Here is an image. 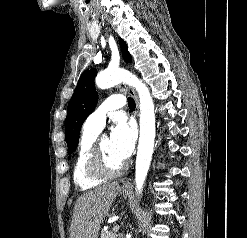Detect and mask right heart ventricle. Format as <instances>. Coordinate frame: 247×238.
Wrapping results in <instances>:
<instances>
[{
  "label": "right heart ventricle",
  "instance_id": "obj_1",
  "mask_svg": "<svg viewBox=\"0 0 247 238\" xmlns=\"http://www.w3.org/2000/svg\"><path fill=\"white\" fill-rule=\"evenodd\" d=\"M99 132L83 128L73 166V180L81 190H88L101 184L104 179L91 177L87 172V162Z\"/></svg>",
  "mask_w": 247,
  "mask_h": 238
}]
</instances>
